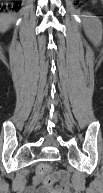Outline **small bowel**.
Here are the masks:
<instances>
[{"instance_id":"c3829d8e","label":"small bowel","mask_w":103,"mask_h":193,"mask_svg":"<svg viewBox=\"0 0 103 193\" xmlns=\"http://www.w3.org/2000/svg\"><path fill=\"white\" fill-rule=\"evenodd\" d=\"M71 188L69 176L62 173L54 187L42 186L41 179L35 177L33 182L25 188L24 193H71Z\"/></svg>"}]
</instances>
